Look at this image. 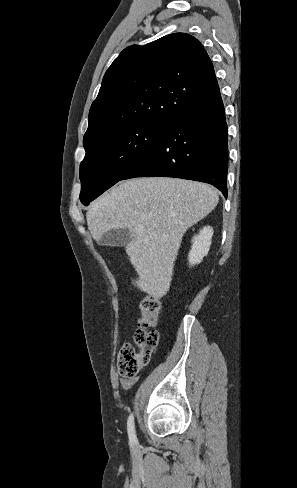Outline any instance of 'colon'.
Wrapping results in <instances>:
<instances>
[{
    "label": "colon",
    "mask_w": 297,
    "mask_h": 488,
    "mask_svg": "<svg viewBox=\"0 0 297 488\" xmlns=\"http://www.w3.org/2000/svg\"><path fill=\"white\" fill-rule=\"evenodd\" d=\"M160 308L161 303L158 296L148 294L142 299L140 317L135 333V341L139 351L129 343L121 346L117 358V367L121 376L135 377L149 363L152 353L158 344L159 336L155 326Z\"/></svg>",
    "instance_id": "5ec220e1"
}]
</instances>
